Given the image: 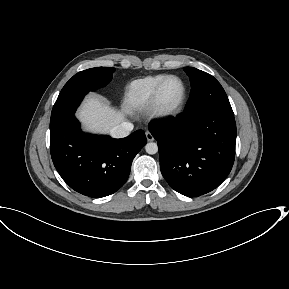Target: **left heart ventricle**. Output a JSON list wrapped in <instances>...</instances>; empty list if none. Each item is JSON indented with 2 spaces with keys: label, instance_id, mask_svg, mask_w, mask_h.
Wrapping results in <instances>:
<instances>
[{
  "label": "left heart ventricle",
  "instance_id": "b2bd125f",
  "mask_svg": "<svg viewBox=\"0 0 289 289\" xmlns=\"http://www.w3.org/2000/svg\"><path fill=\"white\" fill-rule=\"evenodd\" d=\"M182 86L179 81L171 79L167 81L161 92V102L165 106L174 105L181 97Z\"/></svg>",
  "mask_w": 289,
  "mask_h": 289
}]
</instances>
